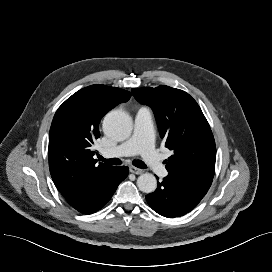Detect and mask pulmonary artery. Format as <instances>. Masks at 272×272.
<instances>
[{"instance_id":"1","label":"pulmonary artery","mask_w":272,"mask_h":272,"mask_svg":"<svg viewBox=\"0 0 272 272\" xmlns=\"http://www.w3.org/2000/svg\"><path fill=\"white\" fill-rule=\"evenodd\" d=\"M140 153L152 171L159 177L167 175V170L154 148L153 117L150 110L139 109L134 118L132 136L124 143L102 150L105 157L131 156Z\"/></svg>"}]
</instances>
